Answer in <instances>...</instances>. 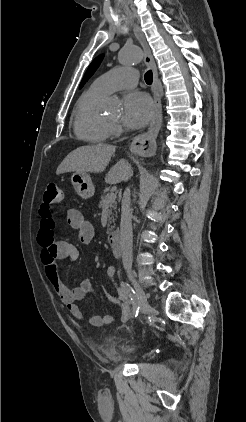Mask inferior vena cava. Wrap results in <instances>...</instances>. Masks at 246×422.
I'll return each mask as SVG.
<instances>
[{
	"instance_id": "obj_1",
	"label": "inferior vena cava",
	"mask_w": 246,
	"mask_h": 422,
	"mask_svg": "<svg viewBox=\"0 0 246 422\" xmlns=\"http://www.w3.org/2000/svg\"><path fill=\"white\" fill-rule=\"evenodd\" d=\"M132 214L130 210V188H126L122 199L120 246L123 266L127 271L132 267Z\"/></svg>"
}]
</instances>
